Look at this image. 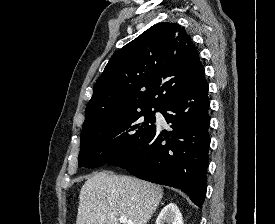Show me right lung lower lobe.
I'll return each mask as SVG.
<instances>
[{"instance_id": "98d812e1", "label": "right lung lower lobe", "mask_w": 275, "mask_h": 224, "mask_svg": "<svg viewBox=\"0 0 275 224\" xmlns=\"http://www.w3.org/2000/svg\"><path fill=\"white\" fill-rule=\"evenodd\" d=\"M204 73L160 111L172 131L159 128L110 164L157 184L182 189L199 207L207 189L210 137Z\"/></svg>"}]
</instances>
